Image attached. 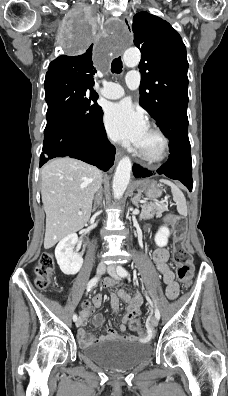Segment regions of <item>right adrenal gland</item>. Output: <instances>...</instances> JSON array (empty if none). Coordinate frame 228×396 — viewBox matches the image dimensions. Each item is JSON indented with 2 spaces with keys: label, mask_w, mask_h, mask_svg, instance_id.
I'll use <instances>...</instances> for the list:
<instances>
[{
  "label": "right adrenal gland",
  "mask_w": 228,
  "mask_h": 396,
  "mask_svg": "<svg viewBox=\"0 0 228 396\" xmlns=\"http://www.w3.org/2000/svg\"><path fill=\"white\" fill-rule=\"evenodd\" d=\"M101 190H102V187L100 188V190L98 191V194H97L98 203H99V200L101 199ZM95 209H96V206H94L93 211Z\"/></svg>",
  "instance_id": "1"
}]
</instances>
